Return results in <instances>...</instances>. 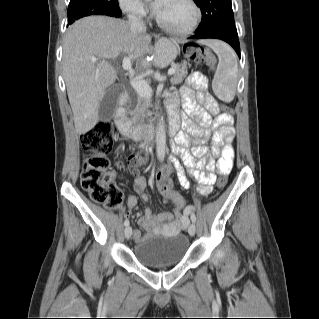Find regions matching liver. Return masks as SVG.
Segmentation results:
<instances>
[{
  "label": "liver",
  "mask_w": 319,
  "mask_h": 319,
  "mask_svg": "<svg viewBox=\"0 0 319 319\" xmlns=\"http://www.w3.org/2000/svg\"><path fill=\"white\" fill-rule=\"evenodd\" d=\"M151 40L145 32H132L127 22L106 16L85 17L67 29L62 66L78 134L97 124L99 104L115 82L117 71L108 60L122 54L143 58L151 53ZM154 62L158 65L156 56ZM142 65L150 64L143 59Z\"/></svg>",
  "instance_id": "6515ba94"
}]
</instances>
